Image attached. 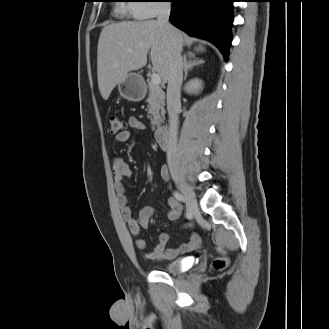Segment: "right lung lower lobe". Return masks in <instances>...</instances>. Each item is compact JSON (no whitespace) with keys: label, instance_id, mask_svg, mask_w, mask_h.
<instances>
[{"label":"right lung lower lobe","instance_id":"obj_1","mask_svg":"<svg viewBox=\"0 0 329 329\" xmlns=\"http://www.w3.org/2000/svg\"><path fill=\"white\" fill-rule=\"evenodd\" d=\"M170 22L190 36L215 44L225 60L232 40V3L235 0H169Z\"/></svg>","mask_w":329,"mask_h":329}]
</instances>
